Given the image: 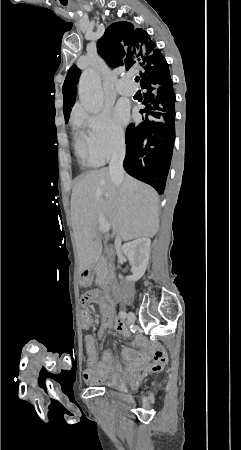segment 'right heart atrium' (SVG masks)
<instances>
[{
    "instance_id": "1",
    "label": "right heart atrium",
    "mask_w": 241,
    "mask_h": 450,
    "mask_svg": "<svg viewBox=\"0 0 241 450\" xmlns=\"http://www.w3.org/2000/svg\"><path fill=\"white\" fill-rule=\"evenodd\" d=\"M77 130H85V153L107 161L124 153L125 131L112 117L109 109L95 116H74ZM89 125V126H88Z\"/></svg>"
}]
</instances>
